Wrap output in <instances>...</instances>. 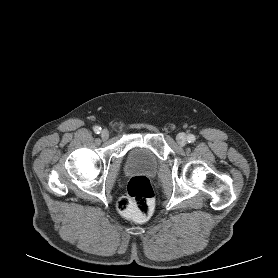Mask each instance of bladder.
<instances>
[{"label":"bladder","mask_w":278,"mask_h":278,"mask_svg":"<svg viewBox=\"0 0 278 278\" xmlns=\"http://www.w3.org/2000/svg\"><path fill=\"white\" fill-rule=\"evenodd\" d=\"M158 166V157L146 146H133L126 154L125 170L128 173L142 172L153 175L157 172Z\"/></svg>","instance_id":"1"}]
</instances>
